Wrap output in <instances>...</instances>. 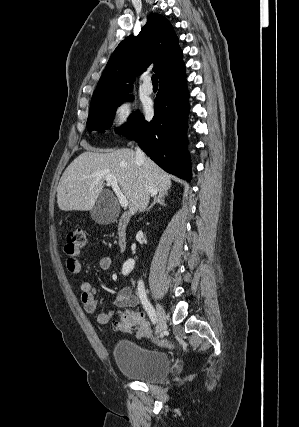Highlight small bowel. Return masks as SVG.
Here are the masks:
<instances>
[{"mask_svg": "<svg viewBox=\"0 0 299 427\" xmlns=\"http://www.w3.org/2000/svg\"><path fill=\"white\" fill-rule=\"evenodd\" d=\"M65 252V250H64ZM66 255V267L70 273L77 274L81 271V262L79 259V253H75L73 255L68 254L65 252ZM111 266V261L108 257H102L99 260V268L103 271L109 270ZM81 294H80V301L83 307V310L87 314H92L96 311L97 308V301H96V294L97 290L92 284V282L88 280H84L80 284ZM139 304L138 297L132 293L131 289L129 287H123L117 291L116 298H115V305L118 308H131L136 307ZM143 319L144 314L141 312H138ZM113 316V311H102L98 312L95 315V321L98 324L104 325L107 324ZM146 321V320H145ZM149 326V324H148ZM150 328V327H149ZM150 334V332H149ZM149 334H145L142 332V329L138 327L136 332L137 338H143L145 336H149Z\"/></svg>", "mask_w": 299, "mask_h": 427, "instance_id": "obj_1", "label": "small bowel"}]
</instances>
